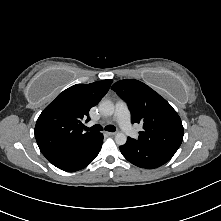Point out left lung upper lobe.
<instances>
[{"label": "left lung upper lobe", "instance_id": "obj_1", "mask_svg": "<svg viewBox=\"0 0 221 221\" xmlns=\"http://www.w3.org/2000/svg\"><path fill=\"white\" fill-rule=\"evenodd\" d=\"M112 90L127 102L132 123L143 126L138 139H133L134 141L142 145L178 150L183 140L182 122L164 98L134 79L118 81L112 86Z\"/></svg>", "mask_w": 221, "mask_h": 221}]
</instances>
